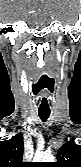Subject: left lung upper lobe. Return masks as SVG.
I'll list each match as a JSON object with an SVG mask.
<instances>
[{"mask_svg":"<svg viewBox=\"0 0 81 167\" xmlns=\"http://www.w3.org/2000/svg\"><path fill=\"white\" fill-rule=\"evenodd\" d=\"M57 162L52 167H81V146L66 142L57 152Z\"/></svg>","mask_w":81,"mask_h":167,"instance_id":"obj_1","label":"left lung upper lobe"}]
</instances>
